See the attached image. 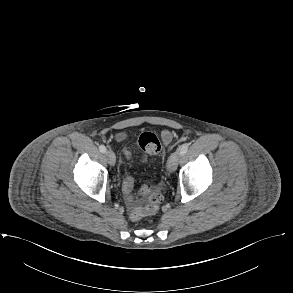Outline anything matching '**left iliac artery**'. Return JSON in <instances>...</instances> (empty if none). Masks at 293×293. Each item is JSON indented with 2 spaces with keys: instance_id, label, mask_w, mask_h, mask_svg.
<instances>
[{
  "instance_id": "1",
  "label": "left iliac artery",
  "mask_w": 293,
  "mask_h": 293,
  "mask_svg": "<svg viewBox=\"0 0 293 293\" xmlns=\"http://www.w3.org/2000/svg\"><path fill=\"white\" fill-rule=\"evenodd\" d=\"M187 150H188V144L186 143L181 145L180 148L178 149L181 155H184L187 152Z\"/></svg>"
}]
</instances>
